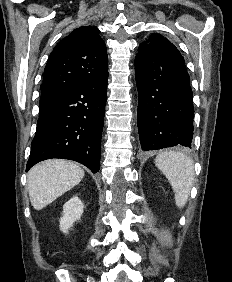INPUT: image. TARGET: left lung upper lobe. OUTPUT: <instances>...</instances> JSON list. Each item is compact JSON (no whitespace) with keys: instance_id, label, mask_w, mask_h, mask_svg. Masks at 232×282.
I'll use <instances>...</instances> for the list:
<instances>
[{"instance_id":"left-lung-upper-lobe-1","label":"left lung upper lobe","mask_w":232,"mask_h":282,"mask_svg":"<svg viewBox=\"0 0 232 282\" xmlns=\"http://www.w3.org/2000/svg\"><path fill=\"white\" fill-rule=\"evenodd\" d=\"M163 39H167L165 37H162L160 34H152L148 40H146L145 42L143 43H157Z\"/></svg>"}]
</instances>
